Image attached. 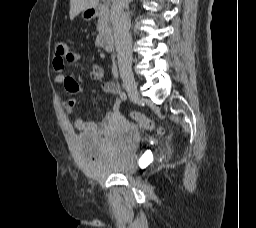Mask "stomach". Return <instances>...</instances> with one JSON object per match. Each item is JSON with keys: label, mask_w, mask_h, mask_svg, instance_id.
Wrapping results in <instances>:
<instances>
[{"label": "stomach", "mask_w": 256, "mask_h": 228, "mask_svg": "<svg viewBox=\"0 0 256 228\" xmlns=\"http://www.w3.org/2000/svg\"><path fill=\"white\" fill-rule=\"evenodd\" d=\"M82 17L85 20H90L94 17L93 13L91 12V9H85L82 11Z\"/></svg>", "instance_id": "obj_1"}]
</instances>
